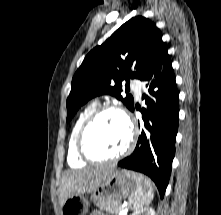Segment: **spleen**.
<instances>
[{"mask_svg":"<svg viewBox=\"0 0 221 215\" xmlns=\"http://www.w3.org/2000/svg\"><path fill=\"white\" fill-rule=\"evenodd\" d=\"M135 179V189L129 197V205L133 210L137 211L151 203L153 199V186L151 181L145 176L142 182L137 176H135Z\"/></svg>","mask_w":221,"mask_h":215,"instance_id":"1","label":"spleen"}]
</instances>
